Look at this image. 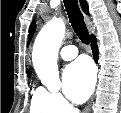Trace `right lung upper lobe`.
<instances>
[{"instance_id":"right-lung-upper-lobe-1","label":"right lung upper lobe","mask_w":121,"mask_h":113,"mask_svg":"<svg viewBox=\"0 0 121 113\" xmlns=\"http://www.w3.org/2000/svg\"><path fill=\"white\" fill-rule=\"evenodd\" d=\"M80 3H81V7H82V9H83V11L85 12V13H88V5H87V2L85 1V0H80ZM35 22H33L32 24H31V26H30V29H29V38H31L32 37V35H33V33H34V31H35ZM30 74L28 73V76H29Z\"/></svg>"}]
</instances>
